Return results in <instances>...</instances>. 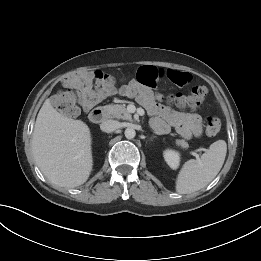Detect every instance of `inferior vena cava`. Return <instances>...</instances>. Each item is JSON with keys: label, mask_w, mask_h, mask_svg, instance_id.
<instances>
[{"label": "inferior vena cava", "mask_w": 261, "mask_h": 261, "mask_svg": "<svg viewBox=\"0 0 261 261\" xmlns=\"http://www.w3.org/2000/svg\"><path fill=\"white\" fill-rule=\"evenodd\" d=\"M120 127V123L115 120H106L100 124V129L104 132L110 133Z\"/></svg>", "instance_id": "1"}]
</instances>
